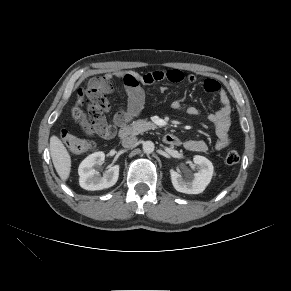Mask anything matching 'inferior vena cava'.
<instances>
[{
  "mask_svg": "<svg viewBox=\"0 0 291 291\" xmlns=\"http://www.w3.org/2000/svg\"><path fill=\"white\" fill-rule=\"evenodd\" d=\"M137 143V138L135 136H128L122 140V146L125 148H131Z\"/></svg>",
  "mask_w": 291,
  "mask_h": 291,
  "instance_id": "inferior-vena-cava-1",
  "label": "inferior vena cava"
}]
</instances>
